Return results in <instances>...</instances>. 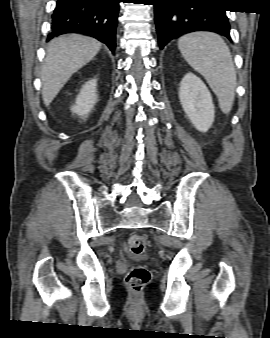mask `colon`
I'll list each match as a JSON object with an SVG mask.
<instances>
[{"label":"colon","mask_w":270,"mask_h":338,"mask_svg":"<svg viewBox=\"0 0 270 338\" xmlns=\"http://www.w3.org/2000/svg\"><path fill=\"white\" fill-rule=\"evenodd\" d=\"M131 254L138 258L146 249V238L143 235H132L128 239ZM126 284L134 292H139L146 287L150 280V272L143 266H133L126 275Z\"/></svg>","instance_id":"5ec220e1"}]
</instances>
